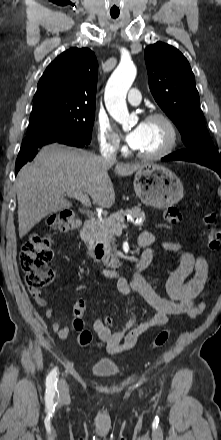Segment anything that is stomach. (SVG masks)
<instances>
[{
    "instance_id": "stomach-1",
    "label": "stomach",
    "mask_w": 221,
    "mask_h": 440,
    "mask_svg": "<svg viewBox=\"0 0 221 440\" xmlns=\"http://www.w3.org/2000/svg\"><path fill=\"white\" fill-rule=\"evenodd\" d=\"M133 185L143 203L159 209L176 204L184 194L179 177L160 164H144L136 171Z\"/></svg>"
}]
</instances>
